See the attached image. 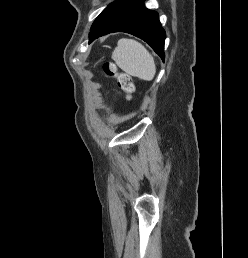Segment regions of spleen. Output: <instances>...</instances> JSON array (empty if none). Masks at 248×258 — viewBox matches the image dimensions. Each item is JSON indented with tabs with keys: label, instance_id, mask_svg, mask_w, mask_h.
Here are the masks:
<instances>
[{
	"label": "spleen",
	"instance_id": "1",
	"mask_svg": "<svg viewBox=\"0 0 248 258\" xmlns=\"http://www.w3.org/2000/svg\"><path fill=\"white\" fill-rule=\"evenodd\" d=\"M112 59L125 73L144 81L153 80L156 73L154 58L134 39L122 38L112 53Z\"/></svg>",
	"mask_w": 248,
	"mask_h": 258
}]
</instances>
